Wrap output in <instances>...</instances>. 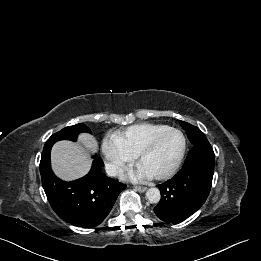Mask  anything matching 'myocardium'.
<instances>
[{
	"label": "myocardium",
	"instance_id": "myocardium-1",
	"mask_svg": "<svg viewBox=\"0 0 261 261\" xmlns=\"http://www.w3.org/2000/svg\"><path fill=\"white\" fill-rule=\"evenodd\" d=\"M168 132H174L177 133L180 137H181V148L179 151V154L175 160V162L173 163V165L166 170L165 172L158 174V175H153V177L157 180H163V179H167L171 176H173L177 170L179 169V167L181 166L184 156H185V152H186V147H187V142H186V138L184 136V134L177 128L174 127H167L166 129L158 132L157 134H155L148 142L147 144L140 150V152L137 154V161L138 163L141 162V160L147 156L155 147V145L157 144V142L159 141V139L166 133Z\"/></svg>",
	"mask_w": 261,
	"mask_h": 261
}]
</instances>
